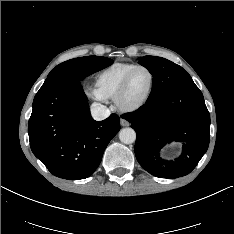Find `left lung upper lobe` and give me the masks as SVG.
Returning a JSON list of instances; mask_svg holds the SVG:
<instances>
[{
	"instance_id": "5c2ea615",
	"label": "left lung upper lobe",
	"mask_w": 234,
	"mask_h": 234,
	"mask_svg": "<svg viewBox=\"0 0 234 234\" xmlns=\"http://www.w3.org/2000/svg\"><path fill=\"white\" fill-rule=\"evenodd\" d=\"M138 63L147 68L153 75V86L148 99L182 81L191 79L182 67L161 57L144 56L139 59Z\"/></svg>"
}]
</instances>
